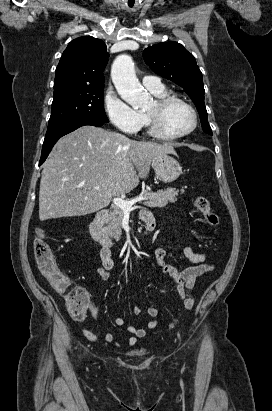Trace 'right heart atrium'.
Wrapping results in <instances>:
<instances>
[{"instance_id": "obj_1", "label": "right heart atrium", "mask_w": 272, "mask_h": 411, "mask_svg": "<svg viewBox=\"0 0 272 411\" xmlns=\"http://www.w3.org/2000/svg\"><path fill=\"white\" fill-rule=\"evenodd\" d=\"M104 108L111 123L125 133H136L143 126V115L124 101L112 88L104 95Z\"/></svg>"}]
</instances>
